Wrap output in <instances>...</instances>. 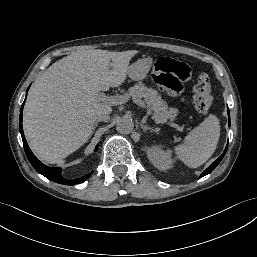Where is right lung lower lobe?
I'll use <instances>...</instances> for the list:
<instances>
[{"label": "right lung lower lobe", "mask_w": 257, "mask_h": 257, "mask_svg": "<svg viewBox=\"0 0 257 257\" xmlns=\"http://www.w3.org/2000/svg\"><path fill=\"white\" fill-rule=\"evenodd\" d=\"M29 89V88H28ZM26 97H27V93H26ZM25 103V101H24ZM24 103L22 104L21 107V112H20V133L22 136V140H23V146H24V150L25 153L27 155V158L29 159L31 165L34 167V169L42 174L43 176H45L46 178L57 182L59 184H64V185H76V184H80L82 182H84L86 179H88L92 173H90L89 175H86L85 177H81L78 179H73V180H68L62 177L61 175V168L59 167H55V168H51L48 167L44 164H42L35 156L34 154L31 152L26 139L24 137V132H23V128H22V112H23V106ZM98 148V145L96 146V150Z\"/></svg>", "instance_id": "right-lung-lower-lobe-1"}]
</instances>
